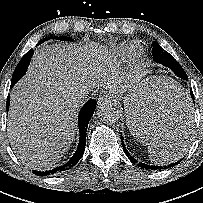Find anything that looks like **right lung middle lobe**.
Returning <instances> with one entry per match:
<instances>
[{
	"instance_id": "right-lung-middle-lobe-1",
	"label": "right lung middle lobe",
	"mask_w": 203,
	"mask_h": 203,
	"mask_svg": "<svg viewBox=\"0 0 203 203\" xmlns=\"http://www.w3.org/2000/svg\"><path fill=\"white\" fill-rule=\"evenodd\" d=\"M51 38L63 40V41L72 40L70 37H50V38L43 39L42 41H40V43H38V45ZM26 71H27V66H24V65L18 63V65L16 66L15 71L13 73L11 83L15 84L19 79H21L23 77V75L26 73Z\"/></svg>"
}]
</instances>
